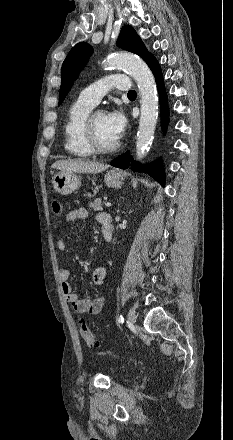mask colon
Masks as SVG:
<instances>
[{
  "mask_svg": "<svg viewBox=\"0 0 233 440\" xmlns=\"http://www.w3.org/2000/svg\"><path fill=\"white\" fill-rule=\"evenodd\" d=\"M51 208L54 214L59 215L62 213L61 202L57 198H53L51 201ZM80 333L88 347H98L99 342L93 336L91 330L84 321H80Z\"/></svg>",
  "mask_w": 233,
  "mask_h": 440,
  "instance_id": "5ec220e1",
  "label": "colon"
}]
</instances>
